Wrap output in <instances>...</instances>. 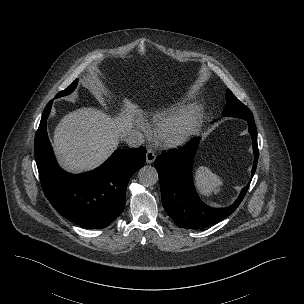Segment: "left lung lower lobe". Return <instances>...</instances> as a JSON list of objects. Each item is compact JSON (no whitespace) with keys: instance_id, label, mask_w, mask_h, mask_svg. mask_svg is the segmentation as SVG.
Masks as SVG:
<instances>
[{"instance_id":"0a47b994","label":"left lung lower lobe","mask_w":304,"mask_h":304,"mask_svg":"<svg viewBox=\"0 0 304 304\" xmlns=\"http://www.w3.org/2000/svg\"><path fill=\"white\" fill-rule=\"evenodd\" d=\"M247 122L255 156L252 168L253 176L258 162L257 129L254 120H247ZM199 139L194 138L184 147L158 156L155 160L160 180L162 204L167 214L181 228H205L222 221L240 205L251 182L242 189L236 202L230 207L210 208L201 202L196 194L191 172Z\"/></svg>"}]
</instances>
